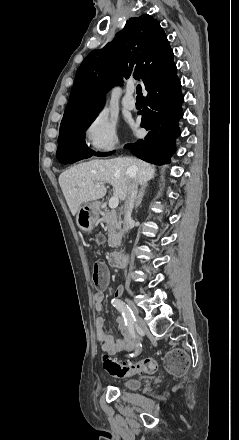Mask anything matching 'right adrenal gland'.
Returning <instances> with one entry per match:
<instances>
[{"label":"right adrenal gland","mask_w":239,"mask_h":440,"mask_svg":"<svg viewBox=\"0 0 239 440\" xmlns=\"http://www.w3.org/2000/svg\"><path fill=\"white\" fill-rule=\"evenodd\" d=\"M146 188H147V184H146V186H141V190H140V192L138 194V198L135 202L134 210H138V208L142 202V198L144 196V192H145Z\"/></svg>","instance_id":"obj_1"}]
</instances>
